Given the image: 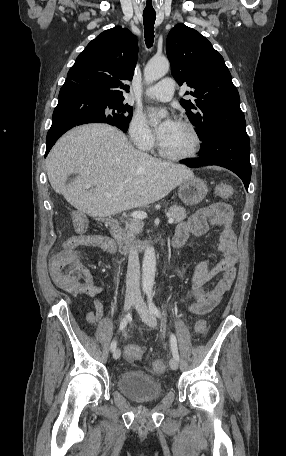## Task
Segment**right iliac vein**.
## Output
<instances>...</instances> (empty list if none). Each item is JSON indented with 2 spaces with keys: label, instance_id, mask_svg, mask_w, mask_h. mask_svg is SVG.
<instances>
[{
  "label": "right iliac vein",
  "instance_id": "right-iliac-vein-1",
  "mask_svg": "<svg viewBox=\"0 0 286 456\" xmlns=\"http://www.w3.org/2000/svg\"><path fill=\"white\" fill-rule=\"evenodd\" d=\"M137 298L135 296H126L125 301H124V310L128 312L131 307L136 303ZM121 355V351L119 348L115 349L113 352V358L114 359H119Z\"/></svg>",
  "mask_w": 286,
  "mask_h": 456
}]
</instances>
